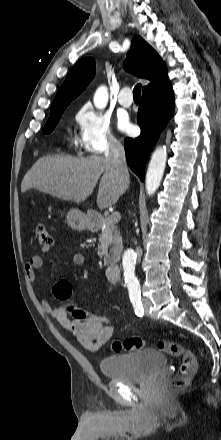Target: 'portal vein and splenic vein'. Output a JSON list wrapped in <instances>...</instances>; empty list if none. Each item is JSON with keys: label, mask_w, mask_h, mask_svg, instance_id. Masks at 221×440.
<instances>
[{"label": "portal vein and splenic vein", "mask_w": 221, "mask_h": 440, "mask_svg": "<svg viewBox=\"0 0 221 440\" xmlns=\"http://www.w3.org/2000/svg\"><path fill=\"white\" fill-rule=\"evenodd\" d=\"M120 220V213L119 212H113L110 216V221L113 223H117Z\"/></svg>", "instance_id": "1"}]
</instances>
